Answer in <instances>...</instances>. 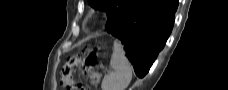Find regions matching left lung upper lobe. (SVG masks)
<instances>
[{"label": "left lung upper lobe", "instance_id": "left-lung-upper-lobe-1", "mask_svg": "<svg viewBox=\"0 0 228 90\" xmlns=\"http://www.w3.org/2000/svg\"><path fill=\"white\" fill-rule=\"evenodd\" d=\"M130 0H88L95 9H103L107 12V28L111 26L116 18L126 10Z\"/></svg>", "mask_w": 228, "mask_h": 90}]
</instances>
